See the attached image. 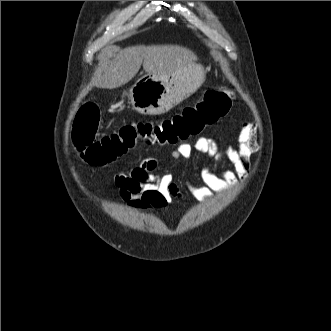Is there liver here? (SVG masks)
I'll return each mask as SVG.
<instances>
[{
  "label": "liver",
  "mask_w": 331,
  "mask_h": 331,
  "mask_svg": "<svg viewBox=\"0 0 331 331\" xmlns=\"http://www.w3.org/2000/svg\"><path fill=\"white\" fill-rule=\"evenodd\" d=\"M197 56L178 45L132 46L120 51L96 77V86L114 89L136 76L141 65L146 73L167 78L184 70Z\"/></svg>",
  "instance_id": "obj_1"
}]
</instances>
